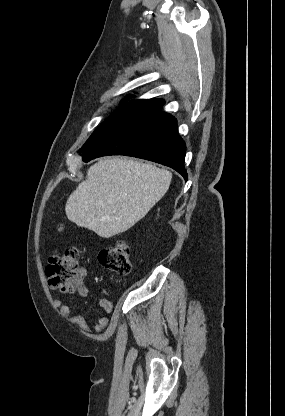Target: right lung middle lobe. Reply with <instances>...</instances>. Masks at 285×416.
<instances>
[{"mask_svg": "<svg viewBox=\"0 0 285 416\" xmlns=\"http://www.w3.org/2000/svg\"><path fill=\"white\" fill-rule=\"evenodd\" d=\"M159 111H161L160 105L145 100H134L123 104L92 133L79 152L90 149L119 131Z\"/></svg>", "mask_w": 285, "mask_h": 416, "instance_id": "dd1d6c3e", "label": "right lung middle lobe"}]
</instances>
